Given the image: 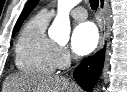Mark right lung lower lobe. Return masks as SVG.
I'll return each instance as SVG.
<instances>
[{"mask_svg":"<svg viewBox=\"0 0 127 92\" xmlns=\"http://www.w3.org/2000/svg\"><path fill=\"white\" fill-rule=\"evenodd\" d=\"M104 50L83 60L74 71L77 83L87 92H91L104 64Z\"/></svg>","mask_w":127,"mask_h":92,"instance_id":"right-lung-lower-lobe-1","label":"right lung lower lobe"}]
</instances>
